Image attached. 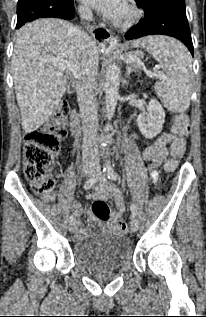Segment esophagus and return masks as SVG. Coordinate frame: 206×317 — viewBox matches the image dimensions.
<instances>
[{
  "label": "esophagus",
  "instance_id": "1",
  "mask_svg": "<svg viewBox=\"0 0 206 317\" xmlns=\"http://www.w3.org/2000/svg\"><path fill=\"white\" fill-rule=\"evenodd\" d=\"M94 37L101 43L116 40L111 31L104 25H100L94 29Z\"/></svg>",
  "mask_w": 206,
  "mask_h": 317
}]
</instances>
